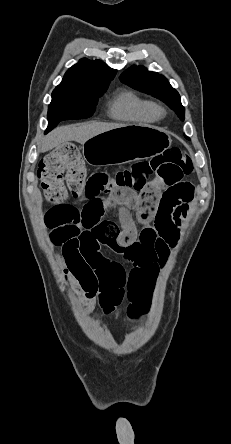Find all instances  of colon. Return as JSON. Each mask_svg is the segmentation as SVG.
Returning a JSON list of instances; mask_svg holds the SVG:
<instances>
[{
    "mask_svg": "<svg viewBox=\"0 0 231 444\" xmlns=\"http://www.w3.org/2000/svg\"><path fill=\"white\" fill-rule=\"evenodd\" d=\"M192 172L193 163L184 151L170 148L148 161L116 170L101 192L107 193L117 188L141 189L149 181L176 188ZM39 177L45 197L53 203L45 216L47 227L53 230L66 225L70 221V214L63 201L68 192L75 198H82L86 193L88 178L79 149L74 144H66L47 154L40 162ZM63 257L68 268H78L82 264L80 254L71 249L64 251ZM151 289L147 288L131 298L135 313L140 314L146 310Z\"/></svg>",
    "mask_w": 231,
    "mask_h": 444,
    "instance_id": "1",
    "label": "colon"
}]
</instances>
